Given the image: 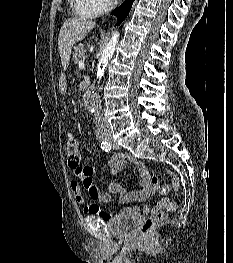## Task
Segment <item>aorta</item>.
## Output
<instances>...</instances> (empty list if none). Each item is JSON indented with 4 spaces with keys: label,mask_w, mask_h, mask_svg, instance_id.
I'll return each instance as SVG.
<instances>
[{
    "label": "aorta",
    "mask_w": 233,
    "mask_h": 263,
    "mask_svg": "<svg viewBox=\"0 0 233 263\" xmlns=\"http://www.w3.org/2000/svg\"><path fill=\"white\" fill-rule=\"evenodd\" d=\"M119 33L117 31L112 33V37L107 43L105 49L102 51L99 62H98V68L96 72V79L98 80V83L100 79L104 75L105 67L107 66L109 60L112 58L115 48L118 42Z\"/></svg>",
    "instance_id": "1"
}]
</instances>
